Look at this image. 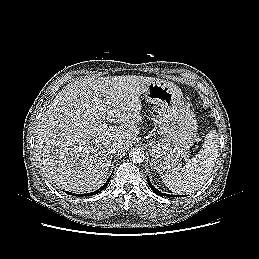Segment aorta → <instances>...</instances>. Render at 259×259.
<instances>
[{
	"label": "aorta",
	"instance_id": "aorta-1",
	"mask_svg": "<svg viewBox=\"0 0 259 259\" xmlns=\"http://www.w3.org/2000/svg\"><path fill=\"white\" fill-rule=\"evenodd\" d=\"M129 157L133 163L139 164L144 161L145 153L143 150H141L139 148H134L133 150L130 151Z\"/></svg>",
	"mask_w": 259,
	"mask_h": 259
}]
</instances>
